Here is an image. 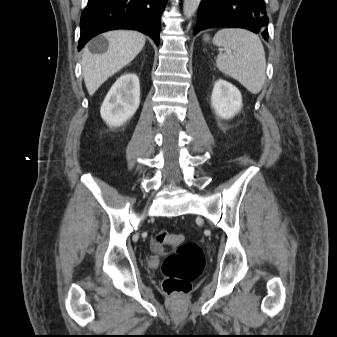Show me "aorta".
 <instances>
[{
    "instance_id": "1",
    "label": "aorta",
    "mask_w": 337,
    "mask_h": 337,
    "mask_svg": "<svg viewBox=\"0 0 337 337\" xmlns=\"http://www.w3.org/2000/svg\"><path fill=\"white\" fill-rule=\"evenodd\" d=\"M201 0H184L183 13L186 18H190L198 9Z\"/></svg>"
}]
</instances>
